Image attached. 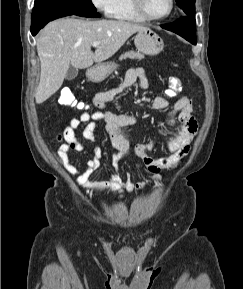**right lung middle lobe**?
I'll return each instance as SVG.
<instances>
[{"label": "right lung middle lobe", "mask_w": 243, "mask_h": 289, "mask_svg": "<svg viewBox=\"0 0 243 289\" xmlns=\"http://www.w3.org/2000/svg\"><path fill=\"white\" fill-rule=\"evenodd\" d=\"M35 5H54L96 10L91 0H35Z\"/></svg>", "instance_id": "right-lung-middle-lobe-1"}]
</instances>
